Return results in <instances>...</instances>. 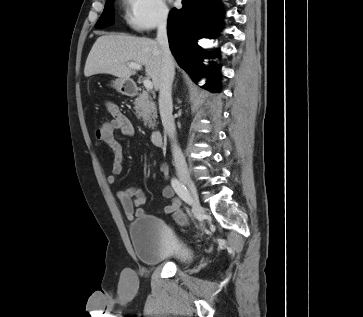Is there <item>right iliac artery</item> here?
<instances>
[{
  "label": "right iliac artery",
  "mask_w": 363,
  "mask_h": 317,
  "mask_svg": "<svg viewBox=\"0 0 363 317\" xmlns=\"http://www.w3.org/2000/svg\"><path fill=\"white\" fill-rule=\"evenodd\" d=\"M171 185L174 189V191L176 192V194L187 204L192 205L193 204V200L187 190V188L180 183L176 178H173L171 180Z\"/></svg>",
  "instance_id": "82829eb1"
}]
</instances>
